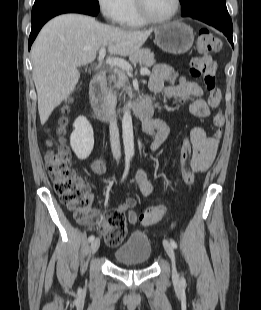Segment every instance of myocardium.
I'll return each instance as SVG.
<instances>
[{
	"label": "myocardium",
	"instance_id": "obj_1",
	"mask_svg": "<svg viewBox=\"0 0 261 310\" xmlns=\"http://www.w3.org/2000/svg\"><path fill=\"white\" fill-rule=\"evenodd\" d=\"M136 10L138 12L139 17L146 23V24H161L166 23L173 20L179 13L181 9V0H175V8L173 12L163 18H155L149 14L146 9L144 0H134Z\"/></svg>",
	"mask_w": 261,
	"mask_h": 310
}]
</instances>
